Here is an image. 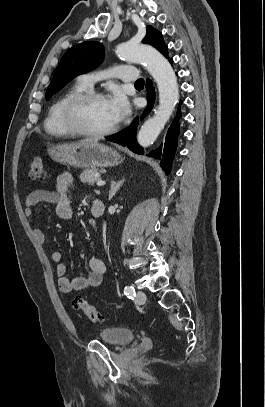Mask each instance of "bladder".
Returning <instances> with one entry per match:
<instances>
[{
	"label": "bladder",
	"mask_w": 265,
	"mask_h": 407,
	"mask_svg": "<svg viewBox=\"0 0 265 407\" xmlns=\"http://www.w3.org/2000/svg\"><path fill=\"white\" fill-rule=\"evenodd\" d=\"M102 341L113 346H123L132 342L136 333L134 330L125 327H107L99 331Z\"/></svg>",
	"instance_id": "31cf9c89"
}]
</instances>
